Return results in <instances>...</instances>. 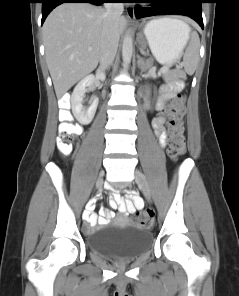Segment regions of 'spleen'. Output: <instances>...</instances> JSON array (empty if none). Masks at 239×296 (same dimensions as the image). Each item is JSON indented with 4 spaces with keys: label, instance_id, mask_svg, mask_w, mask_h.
Segmentation results:
<instances>
[{
    "label": "spleen",
    "instance_id": "spleen-1",
    "mask_svg": "<svg viewBox=\"0 0 239 296\" xmlns=\"http://www.w3.org/2000/svg\"><path fill=\"white\" fill-rule=\"evenodd\" d=\"M186 27H187L188 39H189L190 28L187 25ZM199 47H200V40H199L198 34L196 32H193L191 35L189 46L186 50V53L183 59L184 69L189 75H192L196 69L198 56H199Z\"/></svg>",
    "mask_w": 239,
    "mask_h": 296
}]
</instances>
